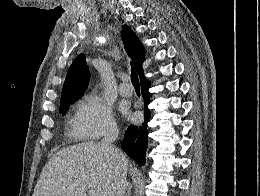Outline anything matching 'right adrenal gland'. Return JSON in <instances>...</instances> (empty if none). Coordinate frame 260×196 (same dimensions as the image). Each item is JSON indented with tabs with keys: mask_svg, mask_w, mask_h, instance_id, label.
Wrapping results in <instances>:
<instances>
[{
	"mask_svg": "<svg viewBox=\"0 0 260 196\" xmlns=\"http://www.w3.org/2000/svg\"><path fill=\"white\" fill-rule=\"evenodd\" d=\"M131 192H132V186H131V184H129L125 196H131Z\"/></svg>",
	"mask_w": 260,
	"mask_h": 196,
	"instance_id": "obj_1",
	"label": "right adrenal gland"
}]
</instances>
